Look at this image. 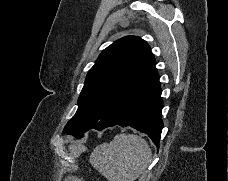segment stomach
<instances>
[{
  "mask_svg": "<svg viewBox=\"0 0 228 181\" xmlns=\"http://www.w3.org/2000/svg\"><path fill=\"white\" fill-rule=\"evenodd\" d=\"M65 181H82V179H78V177H66Z\"/></svg>",
  "mask_w": 228,
  "mask_h": 181,
  "instance_id": "stomach-1",
  "label": "stomach"
}]
</instances>
